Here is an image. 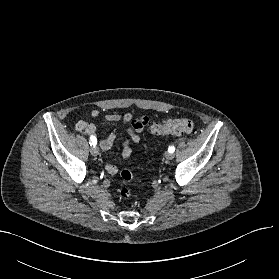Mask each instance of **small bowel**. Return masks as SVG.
<instances>
[{
    "instance_id": "c3829d8e",
    "label": "small bowel",
    "mask_w": 279,
    "mask_h": 279,
    "mask_svg": "<svg viewBox=\"0 0 279 279\" xmlns=\"http://www.w3.org/2000/svg\"><path fill=\"white\" fill-rule=\"evenodd\" d=\"M101 117V114L98 110H93L91 112V118L93 121H98ZM104 119L108 122H122L127 126V133L129 138L124 142L122 150V158L127 159L132 154V146L140 142V135L143 133L145 128L150 124V119L146 116L135 118L132 113H110L104 116ZM75 128L77 131L85 133L91 137L97 136V126L94 122H86L80 120L76 123ZM97 139V138H96ZM116 135L114 133L109 134L107 137L99 140V146L103 151H107L111 148ZM106 171L115 175L119 171V167L114 164H106Z\"/></svg>"
}]
</instances>
